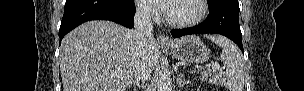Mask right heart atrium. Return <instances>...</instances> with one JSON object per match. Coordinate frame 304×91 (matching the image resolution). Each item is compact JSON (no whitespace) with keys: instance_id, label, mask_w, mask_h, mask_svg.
<instances>
[{"instance_id":"d8ad5b80","label":"right heart atrium","mask_w":304,"mask_h":91,"mask_svg":"<svg viewBox=\"0 0 304 91\" xmlns=\"http://www.w3.org/2000/svg\"><path fill=\"white\" fill-rule=\"evenodd\" d=\"M140 13H141V15L142 16H144V17H151V16H153V12H152V10H150V9H148V8H146V7H142L141 9H140Z\"/></svg>"}]
</instances>
